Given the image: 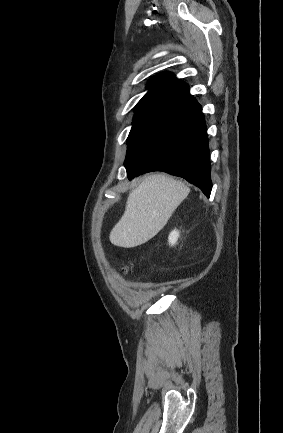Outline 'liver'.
Listing matches in <instances>:
<instances>
[{"mask_svg":"<svg viewBox=\"0 0 283 433\" xmlns=\"http://www.w3.org/2000/svg\"><path fill=\"white\" fill-rule=\"evenodd\" d=\"M189 186L167 174H151L131 190L123 217L113 227L110 241L116 247H138L155 237L178 204L189 194Z\"/></svg>","mask_w":283,"mask_h":433,"instance_id":"obj_1","label":"liver"}]
</instances>
